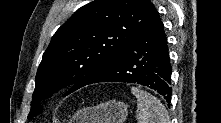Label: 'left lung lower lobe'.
<instances>
[{
  "label": "left lung lower lobe",
  "mask_w": 221,
  "mask_h": 123,
  "mask_svg": "<svg viewBox=\"0 0 221 123\" xmlns=\"http://www.w3.org/2000/svg\"><path fill=\"white\" fill-rule=\"evenodd\" d=\"M171 73L167 37L157 13L129 46L110 64L100 70L88 84L99 82L137 83L154 89L170 103Z\"/></svg>",
  "instance_id": "0a47b994"
}]
</instances>
